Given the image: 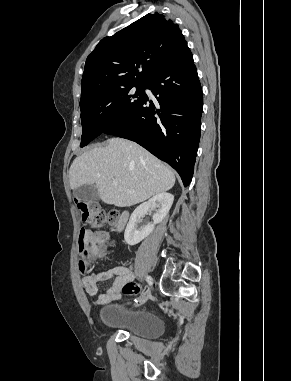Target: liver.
I'll return each instance as SVG.
<instances>
[{"label":"liver","mask_w":291,"mask_h":381,"mask_svg":"<svg viewBox=\"0 0 291 381\" xmlns=\"http://www.w3.org/2000/svg\"><path fill=\"white\" fill-rule=\"evenodd\" d=\"M117 180L118 185L112 181ZM71 189L95 185L101 200L117 207H129L175 184L173 171L146 149L120 138L107 140L76 157L69 170Z\"/></svg>","instance_id":"6515ba94"}]
</instances>
